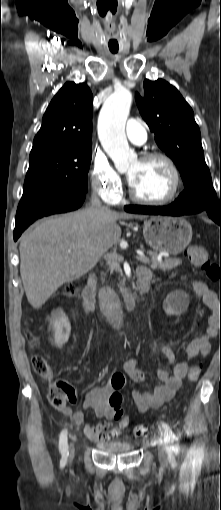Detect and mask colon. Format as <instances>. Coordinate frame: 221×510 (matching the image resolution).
Here are the masks:
<instances>
[{
    "label": "colon",
    "instance_id": "obj_1",
    "mask_svg": "<svg viewBox=\"0 0 221 510\" xmlns=\"http://www.w3.org/2000/svg\"><path fill=\"white\" fill-rule=\"evenodd\" d=\"M187 258L194 266L200 269L210 281L218 283L221 289V264L212 262L204 247L197 245L189 247L187 250ZM75 292L76 286L72 284L65 288V293L68 296L73 295ZM28 337L32 347L38 348L40 345L38 338L32 333H28ZM32 367L39 376L51 381L52 369L50 363L43 355L36 354L33 356ZM199 375L200 367L195 365L189 370L188 380L190 382H195L199 378ZM110 385L114 390V393L110 397V403L117 407L115 419L122 428H125L129 424V419L120 407L122 403L120 390L126 385L124 374L121 372H114L110 379ZM47 398L50 405L57 410H64L67 408L68 403H76L77 401V396L73 387L62 380L51 381ZM133 434L136 437H143L147 434V428L143 425H137L133 429Z\"/></svg>",
    "mask_w": 221,
    "mask_h": 510
}]
</instances>
